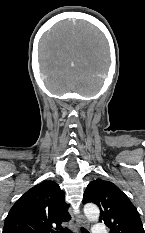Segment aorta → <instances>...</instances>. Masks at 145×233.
<instances>
[{"label": "aorta", "instance_id": "aorta-1", "mask_svg": "<svg viewBox=\"0 0 145 233\" xmlns=\"http://www.w3.org/2000/svg\"><path fill=\"white\" fill-rule=\"evenodd\" d=\"M84 214L89 221L96 222L99 219L100 211L95 204L89 203L84 206Z\"/></svg>", "mask_w": 145, "mask_h": 233}]
</instances>
